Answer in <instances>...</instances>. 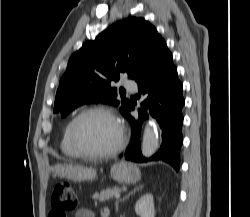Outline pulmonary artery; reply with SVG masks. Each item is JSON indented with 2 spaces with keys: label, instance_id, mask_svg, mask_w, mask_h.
Here are the masks:
<instances>
[{
  "label": "pulmonary artery",
  "instance_id": "obj_1",
  "mask_svg": "<svg viewBox=\"0 0 250 217\" xmlns=\"http://www.w3.org/2000/svg\"><path fill=\"white\" fill-rule=\"evenodd\" d=\"M124 87L129 91H136L138 88V85L135 81L128 80L124 82Z\"/></svg>",
  "mask_w": 250,
  "mask_h": 217
}]
</instances>
